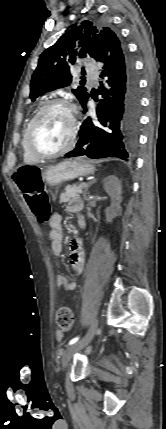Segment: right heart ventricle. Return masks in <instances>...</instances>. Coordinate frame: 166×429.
Returning <instances> with one entry per match:
<instances>
[{"mask_svg": "<svg viewBox=\"0 0 166 429\" xmlns=\"http://www.w3.org/2000/svg\"><path fill=\"white\" fill-rule=\"evenodd\" d=\"M39 110V108H37L35 111H34V114L32 115V117L29 119V121L27 122V124L25 125V127H24V130H23V137H22V149H23V160L26 162V163H38L40 160H38V159H36L35 157H33L29 152H28V150H27V148H26V145H25V139H26V134H27V131H28V127H29V125H30V123H31V121H32V119H33V117L35 116V114L37 113V111Z\"/></svg>", "mask_w": 166, "mask_h": 429, "instance_id": "e07e8e85", "label": "right heart ventricle"}]
</instances>
